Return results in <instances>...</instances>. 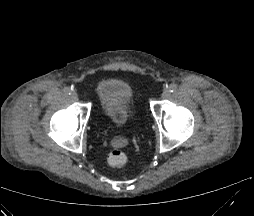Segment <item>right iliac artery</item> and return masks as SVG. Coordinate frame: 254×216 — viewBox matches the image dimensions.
I'll return each mask as SVG.
<instances>
[{
  "label": "right iliac artery",
  "instance_id": "obj_1",
  "mask_svg": "<svg viewBox=\"0 0 254 216\" xmlns=\"http://www.w3.org/2000/svg\"><path fill=\"white\" fill-rule=\"evenodd\" d=\"M64 92L68 95H70L72 93V89L70 87H65L64 88Z\"/></svg>",
  "mask_w": 254,
  "mask_h": 216
}]
</instances>
